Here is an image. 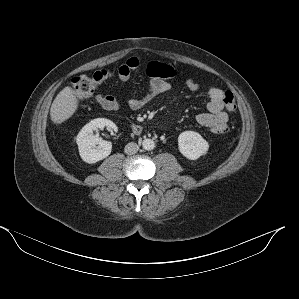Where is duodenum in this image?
I'll return each mask as SVG.
<instances>
[{"mask_svg": "<svg viewBox=\"0 0 299 299\" xmlns=\"http://www.w3.org/2000/svg\"><path fill=\"white\" fill-rule=\"evenodd\" d=\"M132 130L137 133V134H140L142 133V127L139 125V124H135V123H132Z\"/></svg>", "mask_w": 299, "mask_h": 299, "instance_id": "duodenum-1", "label": "duodenum"}]
</instances>
